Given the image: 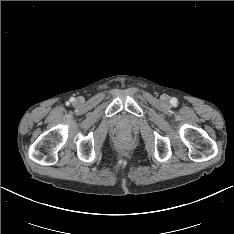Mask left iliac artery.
<instances>
[{"label":"left iliac artery","instance_id":"44dca946","mask_svg":"<svg viewBox=\"0 0 234 234\" xmlns=\"http://www.w3.org/2000/svg\"><path fill=\"white\" fill-rule=\"evenodd\" d=\"M171 103H173L175 105L177 103V99L176 98H172Z\"/></svg>","mask_w":234,"mask_h":234}]
</instances>
